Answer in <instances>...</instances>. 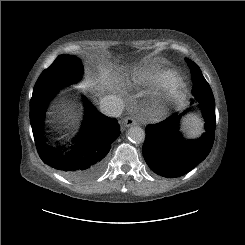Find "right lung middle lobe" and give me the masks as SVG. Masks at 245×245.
Here are the masks:
<instances>
[{
	"mask_svg": "<svg viewBox=\"0 0 245 245\" xmlns=\"http://www.w3.org/2000/svg\"><path fill=\"white\" fill-rule=\"evenodd\" d=\"M83 74V65L73 55H59L49 69H46L37 80L31 101L42 95L64 86L78 82Z\"/></svg>",
	"mask_w": 245,
	"mask_h": 245,
	"instance_id": "obj_1",
	"label": "right lung middle lobe"
}]
</instances>
